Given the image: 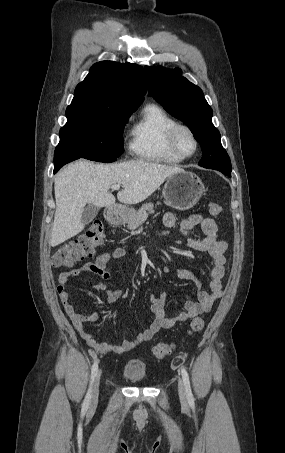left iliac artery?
Returning <instances> with one entry per match:
<instances>
[{
	"label": "left iliac artery",
	"mask_w": 285,
	"mask_h": 453,
	"mask_svg": "<svg viewBox=\"0 0 285 453\" xmlns=\"http://www.w3.org/2000/svg\"><path fill=\"white\" fill-rule=\"evenodd\" d=\"M181 375H182V379H183V383H184V387H185V393H186V397H187V400H188V403L189 405L194 408V397H193V394H192V390H191V386H190V380H189V375L186 371V369L184 367H181Z\"/></svg>",
	"instance_id": "obj_1"
}]
</instances>
